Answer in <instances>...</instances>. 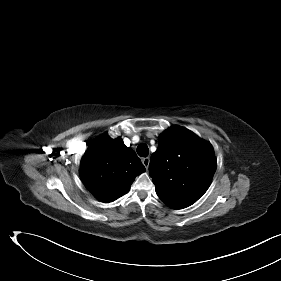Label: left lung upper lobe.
Wrapping results in <instances>:
<instances>
[{
	"instance_id": "1",
	"label": "left lung upper lobe",
	"mask_w": 281,
	"mask_h": 281,
	"mask_svg": "<svg viewBox=\"0 0 281 281\" xmlns=\"http://www.w3.org/2000/svg\"><path fill=\"white\" fill-rule=\"evenodd\" d=\"M216 167L214 149L209 142L186 128L172 126L159 136L149 174L158 197L169 207L181 209L206 192Z\"/></svg>"
}]
</instances>
